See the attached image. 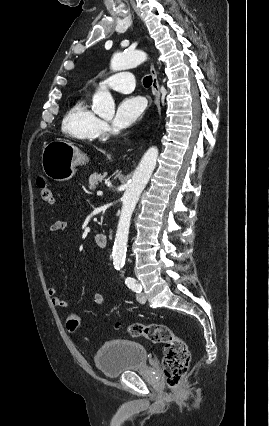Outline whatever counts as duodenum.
<instances>
[{
	"label": "duodenum",
	"instance_id": "duodenum-1",
	"mask_svg": "<svg viewBox=\"0 0 269 426\" xmlns=\"http://www.w3.org/2000/svg\"><path fill=\"white\" fill-rule=\"evenodd\" d=\"M95 242L98 247L106 248L108 245V238L105 234L99 233L95 236Z\"/></svg>",
	"mask_w": 269,
	"mask_h": 426
}]
</instances>
